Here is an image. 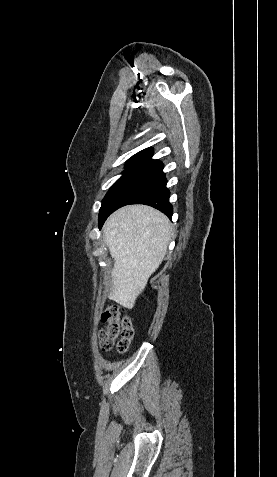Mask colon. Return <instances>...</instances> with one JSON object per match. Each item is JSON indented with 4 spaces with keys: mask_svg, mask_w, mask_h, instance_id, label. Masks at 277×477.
<instances>
[{
    "mask_svg": "<svg viewBox=\"0 0 277 477\" xmlns=\"http://www.w3.org/2000/svg\"><path fill=\"white\" fill-rule=\"evenodd\" d=\"M123 311L120 305H110L101 315V321L107 323L106 328L99 333L100 346L104 350H110L117 340V351L124 353L131 344L134 328L131 319Z\"/></svg>",
    "mask_w": 277,
    "mask_h": 477,
    "instance_id": "1",
    "label": "colon"
}]
</instances>
